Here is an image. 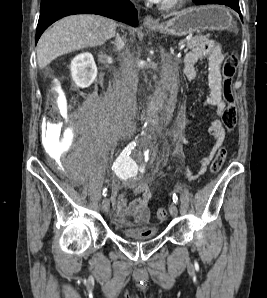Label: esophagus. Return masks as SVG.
Instances as JSON below:
<instances>
[{
  "label": "esophagus",
  "instance_id": "esophagus-1",
  "mask_svg": "<svg viewBox=\"0 0 267 298\" xmlns=\"http://www.w3.org/2000/svg\"><path fill=\"white\" fill-rule=\"evenodd\" d=\"M143 24L145 26H155L157 25V22L151 15L146 14L143 19Z\"/></svg>",
  "mask_w": 267,
  "mask_h": 298
}]
</instances>
